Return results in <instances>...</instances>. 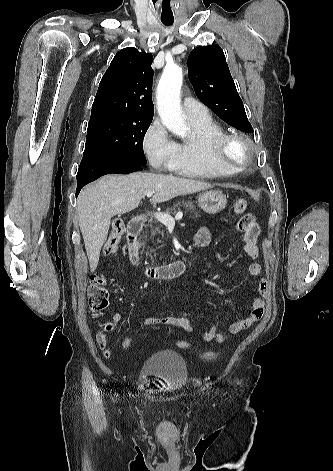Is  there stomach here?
Masks as SVG:
<instances>
[{
	"mask_svg": "<svg viewBox=\"0 0 333 471\" xmlns=\"http://www.w3.org/2000/svg\"><path fill=\"white\" fill-rule=\"evenodd\" d=\"M199 207L208 214H216L225 209L227 198L221 191H207L198 197Z\"/></svg>",
	"mask_w": 333,
	"mask_h": 471,
	"instance_id": "0dacf381",
	"label": "stomach"
}]
</instances>
